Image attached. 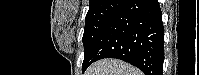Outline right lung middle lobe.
<instances>
[{
	"instance_id": "obj_1",
	"label": "right lung middle lobe",
	"mask_w": 199,
	"mask_h": 75,
	"mask_svg": "<svg viewBox=\"0 0 199 75\" xmlns=\"http://www.w3.org/2000/svg\"><path fill=\"white\" fill-rule=\"evenodd\" d=\"M128 0H108L102 4L89 8L85 19L83 34L84 61L83 67L87 66L98 40L114 17L125 6Z\"/></svg>"
}]
</instances>
